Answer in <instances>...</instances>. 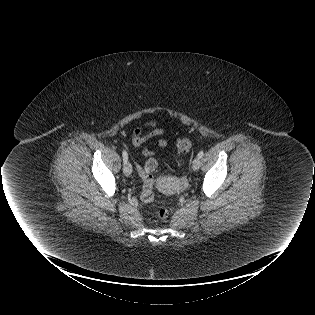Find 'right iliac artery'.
Masks as SVG:
<instances>
[{"label":"right iliac artery","mask_w":315,"mask_h":315,"mask_svg":"<svg viewBox=\"0 0 315 315\" xmlns=\"http://www.w3.org/2000/svg\"><path fill=\"white\" fill-rule=\"evenodd\" d=\"M122 156H123V162H124V163L127 162V160H128V154H127V152H126L125 150H123Z\"/></svg>","instance_id":"right-iliac-artery-1"}]
</instances>
